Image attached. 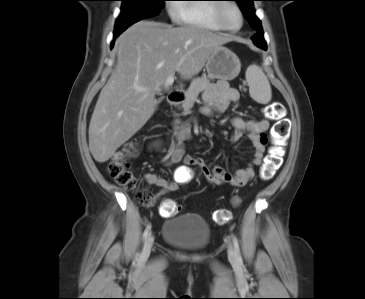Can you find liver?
I'll return each mask as SVG.
<instances>
[{"instance_id":"liver-1","label":"liver","mask_w":365,"mask_h":299,"mask_svg":"<svg viewBox=\"0 0 365 299\" xmlns=\"http://www.w3.org/2000/svg\"><path fill=\"white\" fill-rule=\"evenodd\" d=\"M232 38L196 26L139 21L118 39L117 62L89 125L93 158L108 161L154 114L166 79L198 75L209 56ZM145 90V91H141Z\"/></svg>"}]
</instances>
